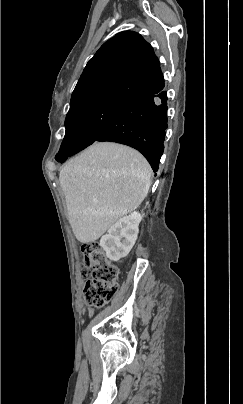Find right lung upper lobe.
<instances>
[{"label": "right lung upper lobe", "instance_id": "cb5924a9", "mask_svg": "<svg viewBox=\"0 0 243 404\" xmlns=\"http://www.w3.org/2000/svg\"><path fill=\"white\" fill-rule=\"evenodd\" d=\"M164 88L153 48L135 32L105 42L87 63L71 97L70 110L100 100H131ZM69 110V111H70Z\"/></svg>", "mask_w": 243, "mask_h": 404}]
</instances>
